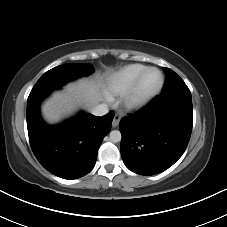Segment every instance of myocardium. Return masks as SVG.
<instances>
[{
	"instance_id": "myocardium-1",
	"label": "myocardium",
	"mask_w": 227,
	"mask_h": 227,
	"mask_svg": "<svg viewBox=\"0 0 227 227\" xmlns=\"http://www.w3.org/2000/svg\"><path fill=\"white\" fill-rule=\"evenodd\" d=\"M155 70L160 74V82L158 86L149 93L141 94L140 86L144 76L149 72ZM165 77L163 72L157 67L145 68L137 77L132 87L124 95L123 105L129 111H138L147 106L153 99H155L164 87Z\"/></svg>"
}]
</instances>
